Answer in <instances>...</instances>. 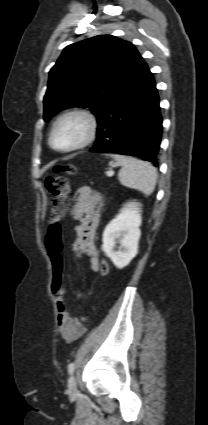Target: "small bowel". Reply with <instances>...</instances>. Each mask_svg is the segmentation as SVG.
Masks as SVG:
<instances>
[{"label": "small bowel", "mask_w": 208, "mask_h": 425, "mask_svg": "<svg viewBox=\"0 0 208 425\" xmlns=\"http://www.w3.org/2000/svg\"><path fill=\"white\" fill-rule=\"evenodd\" d=\"M100 196L90 187L79 188L74 196V206L72 216L79 223L76 227V238L74 248L80 254L90 258L91 268L94 272L100 273V266L103 260L98 256L95 244V230L99 219ZM65 293L64 282L56 296L58 306V326L61 335L67 342L77 340L85 332L84 325L77 319L71 317L65 307L63 295Z\"/></svg>", "instance_id": "obj_1"}]
</instances>
